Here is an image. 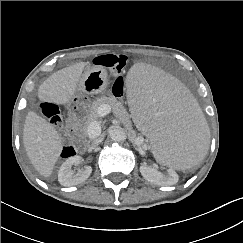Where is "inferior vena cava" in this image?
Masks as SVG:
<instances>
[{"label":"inferior vena cava","mask_w":243,"mask_h":243,"mask_svg":"<svg viewBox=\"0 0 243 243\" xmlns=\"http://www.w3.org/2000/svg\"><path fill=\"white\" fill-rule=\"evenodd\" d=\"M99 136V135H98ZM97 137V136H96ZM101 142V139L96 138L93 142H92V147H96L99 143Z\"/></svg>","instance_id":"1"}]
</instances>
